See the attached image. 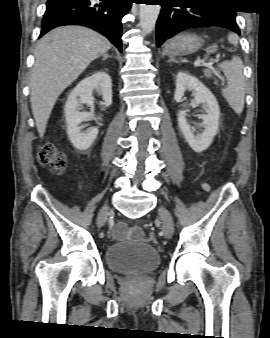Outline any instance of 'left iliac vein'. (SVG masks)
Returning a JSON list of instances; mask_svg holds the SVG:
<instances>
[{
	"label": "left iliac vein",
	"mask_w": 270,
	"mask_h": 338,
	"mask_svg": "<svg viewBox=\"0 0 270 338\" xmlns=\"http://www.w3.org/2000/svg\"><path fill=\"white\" fill-rule=\"evenodd\" d=\"M159 216L162 220V231L167 239H171L174 232L173 221L170 213L164 207H160L158 210Z\"/></svg>",
	"instance_id": "1"
}]
</instances>
